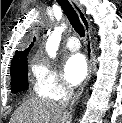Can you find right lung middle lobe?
Returning <instances> with one entry per match:
<instances>
[{
    "label": "right lung middle lobe",
    "instance_id": "right-lung-middle-lobe-1",
    "mask_svg": "<svg viewBox=\"0 0 122 123\" xmlns=\"http://www.w3.org/2000/svg\"><path fill=\"white\" fill-rule=\"evenodd\" d=\"M11 75V90L13 93L28 89V66L27 60L19 66L10 70Z\"/></svg>",
    "mask_w": 122,
    "mask_h": 123
}]
</instances>
